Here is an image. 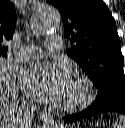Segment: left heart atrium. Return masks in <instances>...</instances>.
Returning a JSON list of instances; mask_svg holds the SVG:
<instances>
[{"mask_svg": "<svg viewBox=\"0 0 125 128\" xmlns=\"http://www.w3.org/2000/svg\"><path fill=\"white\" fill-rule=\"evenodd\" d=\"M19 82L26 95L40 102L61 101L73 87L70 69L61 62L26 67L20 73Z\"/></svg>", "mask_w": 125, "mask_h": 128, "instance_id": "39dd6f15", "label": "left heart atrium"}]
</instances>
